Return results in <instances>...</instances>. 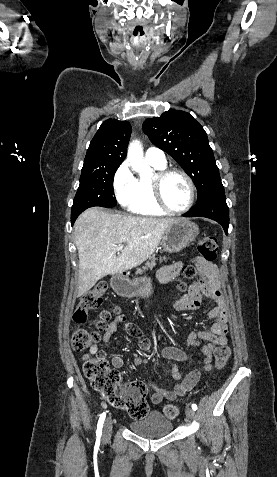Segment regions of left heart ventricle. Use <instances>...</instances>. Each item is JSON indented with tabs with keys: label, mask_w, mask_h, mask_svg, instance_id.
Instances as JSON below:
<instances>
[{
	"label": "left heart ventricle",
	"mask_w": 277,
	"mask_h": 477,
	"mask_svg": "<svg viewBox=\"0 0 277 477\" xmlns=\"http://www.w3.org/2000/svg\"><path fill=\"white\" fill-rule=\"evenodd\" d=\"M163 196L173 210L182 209L189 199V186L184 177L171 175L163 183Z\"/></svg>",
	"instance_id": "obj_1"
}]
</instances>
